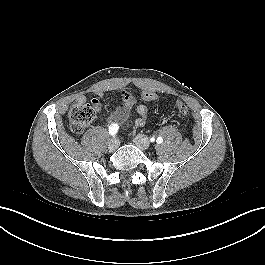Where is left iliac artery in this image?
Listing matches in <instances>:
<instances>
[{
	"label": "left iliac artery",
	"instance_id": "1",
	"mask_svg": "<svg viewBox=\"0 0 265 265\" xmlns=\"http://www.w3.org/2000/svg\"><path fill=\"white\" fill-rule=\"evenodd\" d=\"M156 142H157L158 144H161V143L163 142V138H162L161 136L158 137L157 140H156Z\"/></svg>",
	"mask_w": 265,
	"mask_h": 265
}]
</instances>
